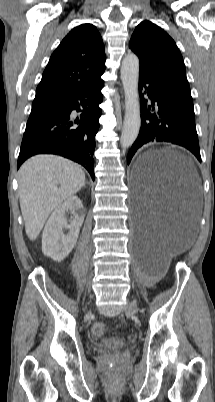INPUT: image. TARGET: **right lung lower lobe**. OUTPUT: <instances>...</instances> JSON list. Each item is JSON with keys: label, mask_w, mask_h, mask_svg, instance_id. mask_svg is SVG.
Wrapping results in <instances>:
<instances>
[{"label": "right lung lower lobe", "mask_w": 215, "mask_h": 402, "mask_svg": "<svg viewBox=\"0 0 215 402\" xmlns=\"http://www.w3.org/2000/svg\"><path fill=\"white\" fill-rule=\"evenodd\" d=\"M101 77L93 84L65 97L58 107L31 125L26 126L17 167L29 157L57 154L84 166L94 180L95 135L99 129L103 100ZM82 112L75 118L72 111Z\"/></svg>", "instance_id": "1"}]
</instances>
